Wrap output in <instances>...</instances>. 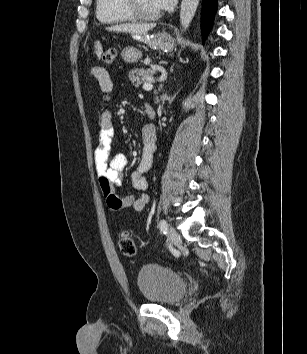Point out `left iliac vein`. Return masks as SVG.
I'll return each mask as SVG.
<instances>
[{
    "label": "left iliac vein",
    "mask_w": 307,
    "mask_h": 354,
    "mask_svg": "<svg viewBox=\"0 0 307 354\" xmlns=\"http://www.w3.org/2000/svg\"><path fill=\"white\" fill-rule=\"evenodd\" d=\"M168 233L170 240L174 245H178L181 243V237L174 228L170 227Z\"/></svg>",
    "instance_id": "left-iliac-vein-1"
}]
</instances>
